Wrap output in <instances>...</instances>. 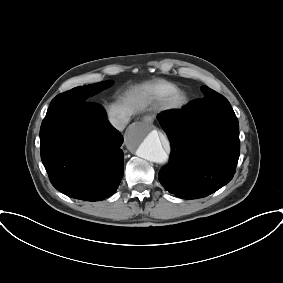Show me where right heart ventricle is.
<instances>
[{
    "label": "right heart ventricle",
    "mask_w": 283,
    "mask_h": 283,
    "mask_svg": "<svg viewBox=\"0 0 283 283\" xmlns=\"http://www.w3.org/2000/svg\"><path fill=\"white\" fill-rule=\"evenodd\" d=\"M174 90L176 86L165 80H155L150 86V94L154 98H161Z\"/></svg>",
    "instance_id": "obj_1"
}]
</instances>
